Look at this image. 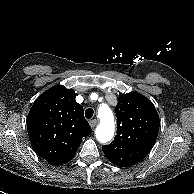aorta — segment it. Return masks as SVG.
I'll list each match as a JSON object with an SVG mask.
<instances>
[{
	"label": "aorta",
	"mask_w": 194,
	"mask_h": 194,
	"mask_svg": "<svg viewBox=\"0 0 194 194\" xmlns=\"http://www.w3.org/2000/svg\"><path fill=\"white\" fill-rule=\"evenodd\" d=\"M100 123L96 128V138L100 143L109 142L115 131V122L112 110L108 106H101L98 110Z\"/></svg>",
	"instance_id": "762f6f07"
}]
</instances>
